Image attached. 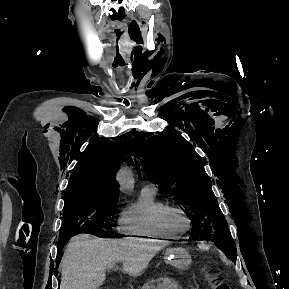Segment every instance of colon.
Instances as JSON below:
<instances>
[{
	"label": "colon",
	"mask_w": 289,
	"mask_h": 289,
	"mask_svg": "<svg viewBox=\"0 0 289 289\" xmlns=\"http://www.w3.org/2000/svg\"><path fill=\"white\" fill-rule=\"evenodd\" d=\"M208 278L213 281V286L214 287H220L221 289H230L229 285L226 283H219L217 280V274L215 271H209L208 272Z\"/></svg>",
	"instance_id": "obj_1"
}]
</instances>
